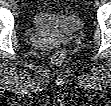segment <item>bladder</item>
Returning <instances> with one entry per match:
<instances>
[{"label":"bladder","mask_w":111,"mask_h":106,"mask_svg":"<svg viewBox=\"0 0 111 106\" xmlns=\"http://www.w3.org/2000/svg\"><path fill=\"white\" fill-rule=\"evenodd\" d=\"M33 23L40 29L58 34L74 33L82 26V21L78 15L55 14L47 8H41L34 13Z\"/></svg>","instance_id":"31cf9c89"}]
</instances>
